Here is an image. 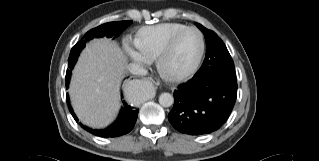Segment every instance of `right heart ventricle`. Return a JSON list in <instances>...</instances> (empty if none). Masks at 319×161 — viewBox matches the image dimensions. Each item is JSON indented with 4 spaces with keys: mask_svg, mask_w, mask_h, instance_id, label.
<instances>
[{
    "mask_svg": "<svg viewBox=\"0 0 319 161\" xmlns=\"http://www.w3.org/2000/svg\"><path fill=\"white\" fill-rule=\"evenodd\" d=\"M182 23H161L143 27L138 30L134 39L137 52L147 60L158 57L168 39L177 31L186 28Z\"/></svg>",
    "mask_w": 319,
    "mask_h": 161,
    "instance_id": "right-heart-ventricle-1",
    "label": "right heart ventricle"
}]
</instances>
